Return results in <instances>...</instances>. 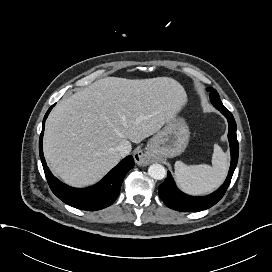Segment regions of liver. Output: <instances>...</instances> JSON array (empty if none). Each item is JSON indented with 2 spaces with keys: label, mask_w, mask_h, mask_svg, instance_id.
Returning a JSON list of instances; mask_svg holds the SVG:
<instances>
[{
  "label": "liver",
  "mask_w": 272,
  "mask_h": 272,
  "mask_svg": "<svg viewBox=\"0 0 272 272\" xmlns=\"http://www.w3.org/2000/svg\"><path fill=\"white\" fill-rule=\"evenodd\" d=\"M186 103L183 86L169 77L97 80L51 111L44 156L65 183L93 184L121 160L119 144L158 132Z\"/></svg>",
  "instance_id": "6515ba94"
}]
</instances>
